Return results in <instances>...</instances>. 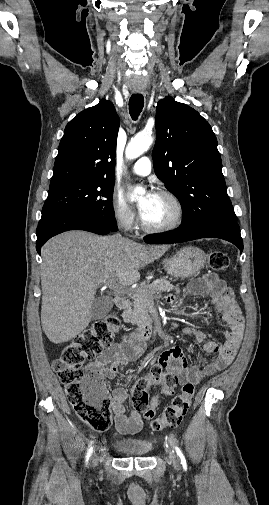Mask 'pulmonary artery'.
Listing matches in <instances>:
<instances>
[{"instance_id":"e3ab8cb5","label":"pulmonary artery","mask_w":269,"mask_h":505,"mask_svg":"<svg viewBox=\"0 0 269 505\" xmlns=\"http://www.w3.org/2000/svg\"><path fill=\"white\" fill-rule=\"evenodd\" d=\"M152 169L151 160L148 157H141L132 167V172L138 176H147Z\"/></svg>"}]
</instances>
